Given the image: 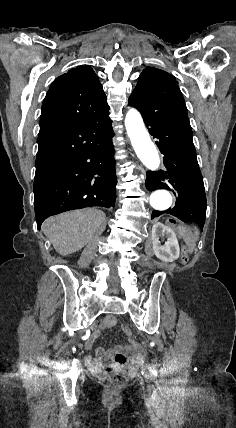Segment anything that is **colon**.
<instances>
[{
    "mask_svg": "<svg viewBox=\"0 0 236 428\" xmlns=\"http://www.w3.org/2000/svg\"><path fill=\"white\" fill-rule=\"evenodd\" d=\"M124 332L128 337L132 336V331L130 328L124 327ZM128 380H129V377L125 373H121V372L113 373L108 379L109 387L113 390L119 389L122 386H124L128 382Z\"/></svg>",
    "mask_w": 236,
    "mask_h": 428,
    "instance_id": "1",
    "label": "colon"
}]
</instances>
